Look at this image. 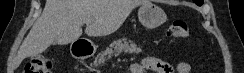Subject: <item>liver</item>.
<instances>
[{
  "label": "liver",
  "instance_id": "6515ba94",
  "mask_svg": "<svg viewBox=\"0 0 244 73\" xmlns=\"http://www.w3.org/2000/svg\"><path fill=\"white\" fill-rule=\"evenodd\" d=\"M145 0H46L41 17L23 41L16 58L23 59L44 52L51 44L66 45L85 33L90 37L106 36L117 31L137 6Z\"/></svg>",
  "mask_w": 244,
  "mask_h": 73
}]
</instances>
